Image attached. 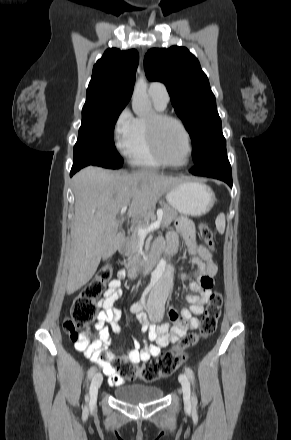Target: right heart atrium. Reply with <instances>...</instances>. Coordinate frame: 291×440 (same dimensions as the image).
Here are the masks:
<instances>
[{
	"label": "right heart atrium",
	"mask_w": 291,
	"mask_h": 440,
	"mask_svg": "<svg viewBox=\"0 0 291 440\" xmlns=\"http://www.w3.org/2000/svg\"><path fill=\"white\" fill-rule=\"evenodd\" d=\"M134 119L130 110L125 108L115 121L113 137L117 149L121 152H125L131 141L134 131Z\"/></svg>",
	"instance_id": "d8ad5b80"
}]
</instances>
